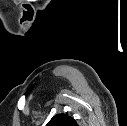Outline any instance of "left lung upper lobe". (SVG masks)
I'll list each match as a JSON object with an SVG mask.
<instances>
[{
	"label": "left lung upper lobe",
	"mask_w": 127,
	"mask_h": 126,
	"mask_svg": "<svg viewBox=\"0 0 127 126\" xmlns=\"http://www.w3.org/2000/svg\"><path fill=\"white\" fill-rule=\"evenodd\" d=\"M46 126H77L76 121L67 114H57Z\"/></svg>",
	"instance_id": "1"
}]
</instances>
